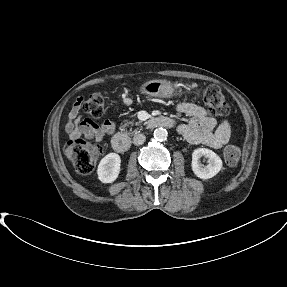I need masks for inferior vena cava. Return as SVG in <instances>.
<instances>
[{"instance_id": "obj_1", "label": "inferior vena cava", "mask_w": 287, "mask_h": 287, "mask_svg": "<svg viewBox=\"0 0 287 287\" xmlns=\"http://www.w3.org/2000/svg\"><path fill=\"white\" fill-rule=\"evenodd\" d=\"M146 140V136L144 134H136L133 137L134 145H142Z\"/></svg>"}]
</instances>
